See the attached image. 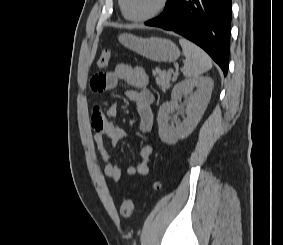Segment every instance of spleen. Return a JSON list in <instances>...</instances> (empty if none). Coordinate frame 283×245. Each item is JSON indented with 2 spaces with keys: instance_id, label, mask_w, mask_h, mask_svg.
Returning a JSON list of instances; mask_svg holds the SVG:
<instances>
[{
  "instance_id": "1",
  "label": "spleen",
  "mask_w": 283,
  "mask_h": 245,
  "mask_svg": "<svg viewBox=\"0 0 283 245\" xmlns=\"http://www.w3.org/2000/svg\"><path fill=\"white\" fill-rule=\"evenodd\" d=\"M179 43L186 57L182 68L185 77L195 79L212 68V60L203 49L185 38H180Z\"/></svg>"
}]
</instances>
